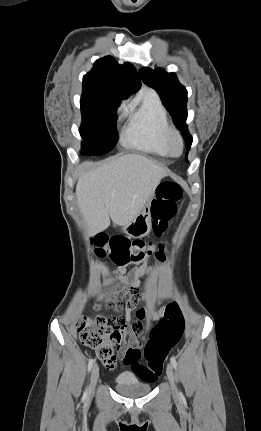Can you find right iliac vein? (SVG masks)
Here are the masks:
<instances>
[{
  "instance_id": "obj_1",
  "label": "right iliac vein",
  "mask_w": 261,
  "mask_h": 431,
  "mask_svg": "<svg viewBox=\"0 0 261 431\" xmlns=\"http://www.w3.org/2000/svg\"><path fill=\"white\" fill-rule=\"evenodd\" d=\"M98 378H99V367L97 364H94L91 371L90 393L94 391Z\"/></svg>"
}]
</instances>
